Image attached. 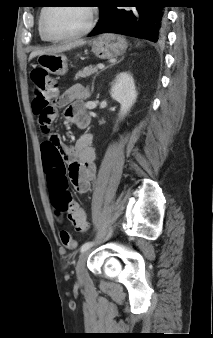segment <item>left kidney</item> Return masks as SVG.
I'll list each match as a JSON object with an SVG mask.
<instances>
[{
    "mask_svg": "<svg viewBox=\"0 0 213 338\" xmlns=\"http://www.w3.org/2000/svg\"><path fill=\"white\" fill-rule=\"evenodd\" d=\"M110 95L121 105L119 119L124 118L135 104L138 95L132 75L128 72L119 73L112 82Z\"/></svg>",
    "mask_w": 213,
    "mask_h": 338,
    "instance_id": "5707ae66",
    "label": "left kidney"
}]
</instances>
